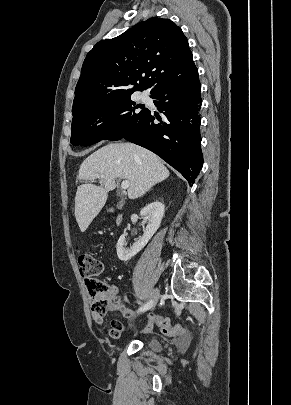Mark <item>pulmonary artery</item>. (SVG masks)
<instances>
[{"mask_svg":"<svg viewBox=\"0 0 291 405\" xmlns=\"http://www.w3.org/2000/svg\"><path fill=\"white\" fill-rule=\"evenodd\" d=\"M142 98H143V99H146V98H147V96H146V95H142Z\"/></svg>","mask_w":291,"mask_h":405,"instance_id":"obj_1","label":"pulmonary artery"}]
</instances>
